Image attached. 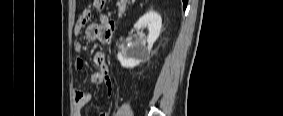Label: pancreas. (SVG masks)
I'll list each match as a JSON object with an SVG mask.
<instances>
[{
	"label": "pancreas",
	"mask_w": 283,
	"mask_h": 116,
	"mask_svg": "<svg viewBox=\"0 0 283 116\" xmlns=\"http://www.w3.org/2000/svg\"><path fill=\"white\" fill-rule=\"evenodd\" d=\"M117 6H118V15L119 17H121L125 11V5L122 2H119Z\"/></svg>",
	"instance_id": "pancreas-1"
}]
</instances>
